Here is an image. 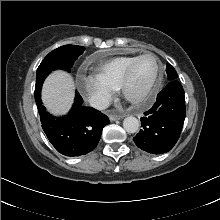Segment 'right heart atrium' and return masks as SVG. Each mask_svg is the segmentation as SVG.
Here are the masks:
<instances>
[{"instance_id":"1","label":"right heart atrium","mask_w":220,"mask_h":220,"mask_svg":"<svg viewBox=\"0 0 220 220\" xmlns=\"http://www.w3.org/2000/svg\"><path fill=\"white\" fill-rule=\"evenodd\" d=\"M79 83L83 96L96 109L105 108L116 91L114 87L98 75L81 76Z\"/></svg>"}]
</instances>
